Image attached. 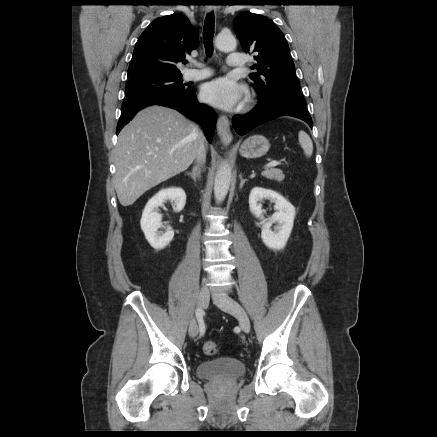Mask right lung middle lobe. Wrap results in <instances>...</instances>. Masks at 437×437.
<instances>
[{
    "label": "right lung middle lobe",
    "instance_id": "right-lung-middle-lobe-1",
    "mask_svg": "<svg viewBox=\"0 0 437 437\" xmlns=\"http://www.w3.org/2000/svg\"><path fill=\"white\" fill-rule=\"evenodd\" d=\"M126 100L161 92H184L182 74H142L128 76Z\"/></svg>",
    "mask_w": 437,
    "mask_h": 437
}]
</instances>
